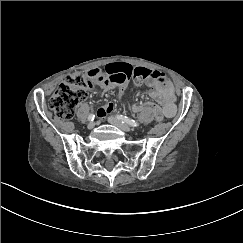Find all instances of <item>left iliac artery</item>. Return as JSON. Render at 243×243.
<instances>
[{
    "mask_svg": "<svg viewBox=\"0 0 243 243\" xmlns=\"http://www.w3.org/2000/svg\"><path fill=\"white\" fill-rule=\"evenodd\" d=\"M117 119L121 120L122 123H125L133 127L139 126L138 122L123 115H117Z\"/></svg>",
    "mask_w": 243,
    "mask_h": 243,
    "instance_id": "44dca946",
    "label": "left iliac artery"
}]
</instances>
